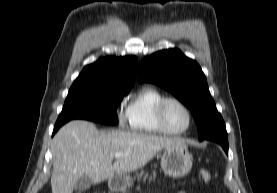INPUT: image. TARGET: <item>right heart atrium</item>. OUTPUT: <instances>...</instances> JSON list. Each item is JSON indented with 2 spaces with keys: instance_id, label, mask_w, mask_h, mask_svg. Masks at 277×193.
I'll return each instance as SVG.
<instances>
[{
  "instance_id": "obj_1",
  "label": "right heart atrium",
  "mask_w": 277,
  "mask_h": 193,
  "mask_svg": "<svg viewBox=\"0 0 277 193\" xmlns=\"http://www.w3.org/2000/svg\"><path fill=\"white\" fill-rule=\"evenodd\" d=\"M126 119H127V117L123 113H119L118 114V122H119L120 126H124L125 125Z\"/></svg>"
}]
</instances>
